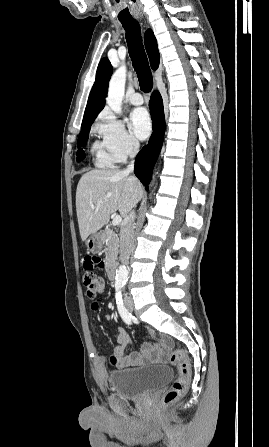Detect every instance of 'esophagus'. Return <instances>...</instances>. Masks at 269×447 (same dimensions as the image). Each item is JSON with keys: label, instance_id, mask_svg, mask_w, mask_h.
Here are the masks:
<instances>
[{"label": "esophagus", "instance_id": "esophagus-1", "mask_svg": "<svg viewBox=\"0 0 269 447\" xmlns=\"http://www.w3.org/2000/svg\"><path fill=\"white\" fill-rule=\"evenodd\" d=\"M141 18H143V17H141ZM156 87H157V86H156V82H155V83H154V89H156Z\"/></svg>", "mask_w": 269, "mask_h": 447}]
</instances>
